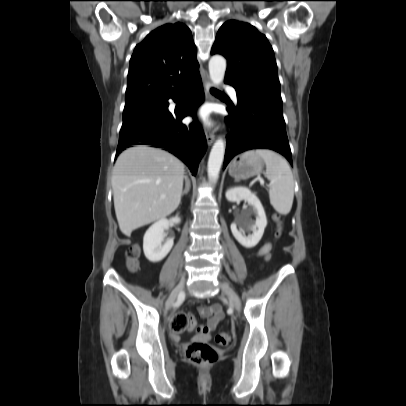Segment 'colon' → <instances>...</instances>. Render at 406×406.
<instances>
[{
	"label": "colon",
	"instance_id": "1",
	"mask_svg": "<svg viewBox=\"0 0 406 406\" xmlns=\"http://www.w3.org/2000/svg\"><path fill=\"white\" fill-rule=\"evenodd\" d=\"M279 223V217L275 216ZM140 250L137 246H131L126 253L128 267L131 270H137L139 263ZM170 327L173 332L181 333L198 329L202 331L204 327H198L194 317L186 312L175 313L170 321ZM216 341L220 345H228L232 341V337L228 333H219L216 336ZM186 358L193 364L200 366H209L216 362L217 352L215 348L204 341H193L187 344L185 349Z\"/></svg>",
	"mask_w": 406,
	"mask_h": 406
}]
</instances>
